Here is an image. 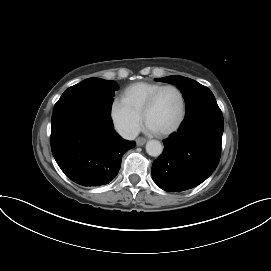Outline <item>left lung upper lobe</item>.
Segmentation results:
<instances>
[{
  "label": "left lung upper lobe",
  "mask_w": 271,
  "mask_h": 271,
  "mask_svg": "<svg viewBox=\"0 0 271 271\" xmlns=\"http://www.w3.org/2000/svg\"><path fill=\"white\" fill-rule=\"evenodd\" d=\"M156 81L177 85L186 101V116L201 108L218 106L210 89L195 80L174 75L156 78Z\"/></svg>",
  "instance_id": "obj_1"
}]
</instances>
